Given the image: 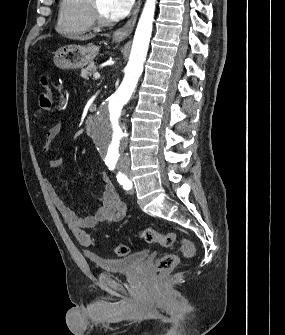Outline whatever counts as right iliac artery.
Here are the masks:
<instances>
[{
    "mask_svg": "<svg viewBox=\"0 0 285 335\" xmlns=\"http://www.w3.org/2000/svg\"><path fill=\"white\" fill-rule=\"evenodd\" d=\"M116 162L111 161L107 162L106 165L109 167V170H114Z\"/></svg>",
    "mask_w": 285,
    "mask_h": 335,
    "instance_id": "right-iliac-artery-1",
    "label": "right iliac artery"
}]
</instances>
